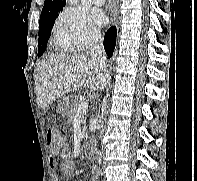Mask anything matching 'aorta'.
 <instances>
[{
	"label": "aorta",
	"mask_w": 197,
	"mask_h": 181,
	"mask_svg": "<svg viewBox=\"0 0 197 181\" xmlns=\"http://www.w3.org/2000/svg\"><path fill=\"white\" fill-rule=\"evenodd\" d=\"M67 2H68L70 5H77V3L79 2V0H67Z\"/></svg>",
	"instance_id": "aorta-1"
}]
</instances>
